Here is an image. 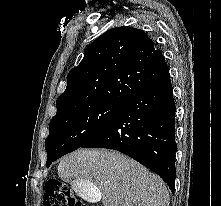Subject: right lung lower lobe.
I'll return each mask as SVG.
<instances>
[{
  "label": "right lung lower lobe",
  "instance_id": "98d812e1",
  "mask_svg": "<svg viewBox=\"0 0 221 206\" xmlns=\"http://www.w3.org/2000/svg\"><path fill=\"white\" fill-rule=\"evenodd\" d=\"M120 151L157 173L174 193L175 102L169 71L121 108L82 148Z\"/></svg>",
  "mask_w": 221,
  "mask_h": 206
}]
</instances>
